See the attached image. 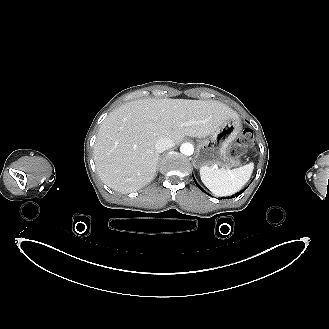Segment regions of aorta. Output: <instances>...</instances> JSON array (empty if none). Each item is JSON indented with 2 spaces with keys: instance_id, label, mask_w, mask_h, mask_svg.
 <instances>
[{
  "instance_id": "1",
  "label": "aorta",
  "mask_w": 329,
  "mask_h": 329,
  "mask_svg": "<svg viewBox=\"0 0 329 329\" xmlns=\"http://www.w3.org/2000/svg\"><path fill=\"white\" fill-rule=\"evenodd\" d=\"M180 152L186 156H190L194 152V146L191 143H183L180 146Z\"/></svg>"
}]
</instances>
